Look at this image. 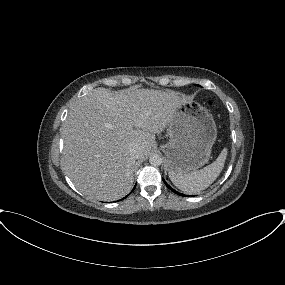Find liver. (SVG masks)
<instances>
[{"mask_svg":"<svg viewBox=\"0 0 285 285\" xmlns=\"http://www.w3.org/2000/svg\"><path fill=\"white\" fill-rule=\"evenodd\" d=\"M186 103L175 91L96 88L76 100L62 127L61 166L84 195L114 201L128 194L134 182L132 145L147 156ZM140 158V159H141Z\"/></svg>","mask_w":285,"mask_h":285,"instance_id":"liver-1","label":"liver"}]
</instances>
